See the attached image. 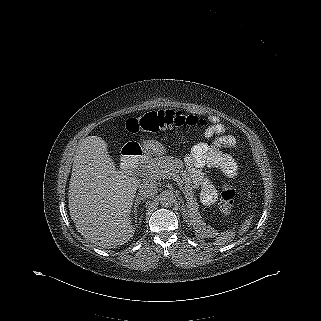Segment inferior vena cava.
<instances>
[{"mask_svg":"<svg viewBox=\"0 0 321 321\" xmlns=\"http://www.w3.org/2000/svg\"><path fill=\"white\" fill-rule=\"evenodd\" d=\"M157 186L150 180H145L139 185V193L144 198H151L157 193Z\"/></svg>","mask_w":321,"mask_h":321,"instance_id":"obj_1","label":"inferior vena cava"}]
</instances>
